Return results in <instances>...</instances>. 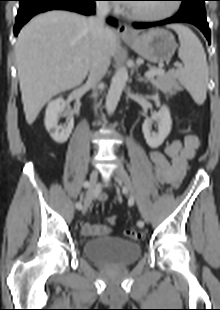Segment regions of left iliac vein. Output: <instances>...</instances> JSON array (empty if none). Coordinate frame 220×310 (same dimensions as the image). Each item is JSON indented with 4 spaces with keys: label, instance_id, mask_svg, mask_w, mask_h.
<instances>
[{
    "label": "left iliac vein",
    "instance_id": "1",
    "mask_svg": "<svg viewBox=\"0 0 220 310\" xmlns=\"http://www.w3.org/2000/svg\"><path fill=\"white\" fill-rule=\"evenodd\" d=\"M114 174L118 180L123 182L126 190L131 195V197H133L136 200L137 206H138V208L142 214L144 222L149 223V216L145 210V207H144L142 201L140 200L129 175L126 172V170L122 164H120V163L118 164L117 168L114 171Z\"/></svg>",
    "mask_w": 220,
    "mask_h": 310
}]
</instances>
